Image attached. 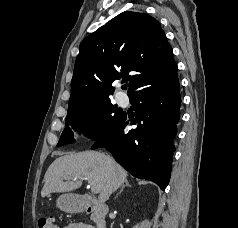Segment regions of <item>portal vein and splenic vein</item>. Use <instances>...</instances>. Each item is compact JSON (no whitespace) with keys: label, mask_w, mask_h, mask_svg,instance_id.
Segmentation results:
<instances>
[{"label":"portal vein and splenic vein","mask_w":238,"mask_h":228,"mask_svg":"<svg viewBox=\"0 0 238 228\" xmlns=\"http://www.w3.org/2000/svg\"><path fill=\"white\" fill-rule=\"evenodd\" d=\"M85 179H86V178H85ZM86 180H87V179H86ZM91 192H92L93 194L99 193L98 189H97L95 186H93V185H91Z\"/></svg>","instance_id":"obj_1"}]
</instances>
